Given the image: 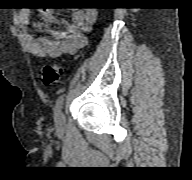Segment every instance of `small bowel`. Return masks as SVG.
Listing matches in <instances>:
<instances>
[{"label":"small bowel","instance_id":"1","mask_svg":"<svg viewBox=\"0 0 192 180\" xmlns=\"http://www.w3.org/2000/svg\"><path fill=\"white\" fill-rule=\"evenodd\" d=\"M40 15L42 21L33 25L37 31L47 35L36 37L28 30L30 11L22 9L18 13V22L21 25L27 49L37 57L57 58L65 54H75L87 45L86 34L92 30L96 20L95 10H78L73 13L72 20L66 29L61 30L54 28L53 25L64 24V21L56 17L50 8H42Z\"/></svg>","mask_w":192,"mask_h":180}]
</instances>
